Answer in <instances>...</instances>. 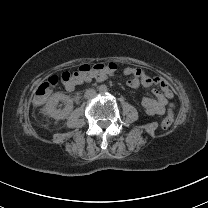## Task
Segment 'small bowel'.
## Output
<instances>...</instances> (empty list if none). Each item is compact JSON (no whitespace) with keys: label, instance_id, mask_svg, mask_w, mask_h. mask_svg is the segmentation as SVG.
Wrapping results in <instances>:
<instances>
[{"label":"small bowel","instance_id":"small-bowel-1","mask_svg":"<svg viewBox=\"0 0 208 208\" xmlns=\"http://www.w3.org/2000/svg\"><path fill=\"white\" fill-rule=\"evenodd\" d=\"M110 74V73H109ZM124 74L129 76L127 85L131 88H135L140 84L149 86L156 85L158 90L154 91V97H144L141 104L147 115H163L168 108H173L171 99L173 98V92L168 86L166 80L160 76H149L140 68H125ZM90 79L86 80L89 81ZM84 81V83H87ZM95 82H106V75H95ZM81 83V82H80ZM72 83V84H80ZM76 85L65 86L68 91H72Z\"/></svg>","mask_w":208,"mask_h":208}]
</instances>
